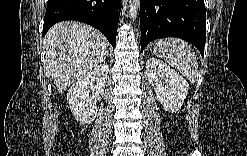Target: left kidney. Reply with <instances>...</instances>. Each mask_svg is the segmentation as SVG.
Returning a JSON list of instances; mask_svg holds the SVG:
<instances>
[{"label":"left kidney","mask_w":247,"mask_h":156,"mask_svg":"<svg viewBox=\"0 0 247 156\" xmlns=\"http://www.w3.org/2000/svg\"><path fill=\"white\" fill-rule=\"evenodd\" d=\"M146 74L164 110L177 112L187 96L188 82L177 71L156 58L147 60Z\"/></svg>","instance_id":"left-kidney-1"}]
</instances>
